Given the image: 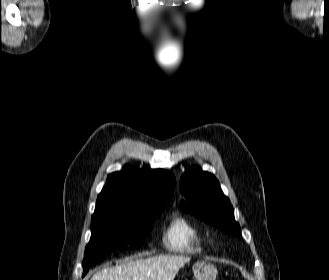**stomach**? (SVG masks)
Returning <instances> with one entry per match:
<instances>
[{
	"instance_id": "obj_1",
	"label": "stomach",
	"mask_w": 329,
	"mask_h": 280,
	"mask_svg": "<svg viewBox=\"0 0 329 280\" xmlns=\"http://www.w3.org/2000/svg\"><path fill=\"white\" fill-rule=\"evenodd\" d=\"M196 280H215L216 267L207 261H198L192 267Z\"/></svg>"
}]
</instances>
